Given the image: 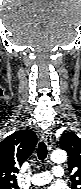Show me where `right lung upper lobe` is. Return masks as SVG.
I'll return each mask as SVG.
<instances>
[{"label":"right lung upper lobe","instance_id":"right-lung-upper-lobe-1","mask_svg":"<svg viewBox=\"0 0 81 189\" xmlns=\"http://www.w3.org/2000/svg\"><path fill=\"white\" fill-rule=\"evenodd\" d=\"M37 136L32 130L14 132L0 142V187L17 185L16 173L33 153Z\"/></svg>","mask_w":81,"mask_h":189}]
</instances>
